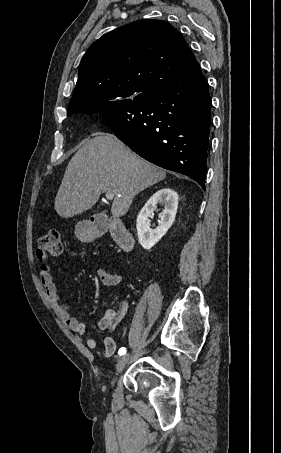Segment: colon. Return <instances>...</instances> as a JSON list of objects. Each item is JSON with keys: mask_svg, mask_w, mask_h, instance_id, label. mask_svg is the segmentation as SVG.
I'll return each instance as SVG.
<instances>
[{"mask_svg": "<svg viewBox=\"0 0 281 453\" xmlns=\"http://www.w3.org/2000/svg\"><path fill=\"white\" fill-rule=\"evenodd\" d=\"M61 228L58 226H49L46 234L40 240V247L37 254V261L45 262L50 257H59L62 253V244L60 240Z\"/></svg>", "mask_w": 281, "mask_h": 453, "instance_id": "colon-1", "label": "colon"}]
</instances>
